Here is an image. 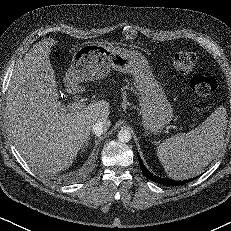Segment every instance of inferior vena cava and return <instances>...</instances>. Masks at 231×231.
I'll return each instance as SVG.
<instances>
[{"label":"inferior vena cava","mask_w":231,"mask_h":231,"mask_svg":"<svg viewBox=\"0 0 231 231\" xmlns=\"http://www.w3.org/2000/svg\"><path fill=\"white\" fill-rule=\"evenodd\" d=\"M110 127V121L109 120H103L95 123L92 127V132L96 136H101L103 133H105Z\"/></svg>","instance_id":"obj_1"}]
</instances>
